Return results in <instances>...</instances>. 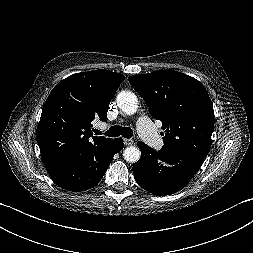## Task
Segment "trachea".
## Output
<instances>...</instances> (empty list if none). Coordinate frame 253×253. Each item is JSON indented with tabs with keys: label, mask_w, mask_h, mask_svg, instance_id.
I'll list each match as a JSON object with an SVG mask.
<instances>
[{
	"label": "trachea",
	"mask_w": 253,
	"mask_h": 253,
	"mask_svg": "<svg viewBox=\"0 0 253 253\" xmlns=\"http://www.w3.org/2000/svg\"><path fill=\"white\" fill-rule=\"evenodd\" d=\"M96 135H101V131L95 130ZM105 135L110 137H117L122 135L124 138H131L133 136V131L130 127H122L119 125L112 126Z\"/></svg>",
	"instance_id": "obj_1"
}]
</instances>
